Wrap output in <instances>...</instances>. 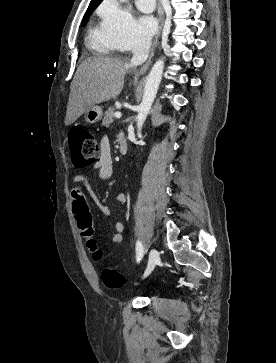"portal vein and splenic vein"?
I'll list each match as a JSON object with an SVG mask.
<instances>
[{
    "label": "portal vein and splenic vein",
    "mask_w": 276,
    "mask_h": 363,
    "mask_svg": "<svg viewBox=\"0 0 276 363\" xmlns=\"http://www.w3.org/2000/svg\"><path fill=\"white\" fill-rule=\"evenodd\" d=\"M114 116H115L116 118H121L122 114H121L120 112H116V113L114 114Z\"/></svg>",
    "instance_id": "obj_1"
}]
</instances>
